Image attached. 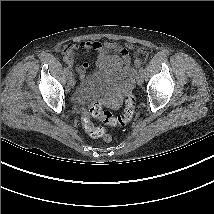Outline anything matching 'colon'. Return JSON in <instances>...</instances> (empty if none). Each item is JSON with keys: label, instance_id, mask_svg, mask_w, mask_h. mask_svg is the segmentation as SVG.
Segmentation results:
<instances>
[{"label": "colon", "instance_id": "1", "mask_svg": "<svg viewBox=\"0 0 214 214\" xmlns=\"http://www.w3.org/2000/svg\"><path fill=\"white\" fill-rule=\"evenodd\" d=\"M144 52V50H141V53ZM134 109L135 97L130 91H128L125 98V108L121 116L116 117L111 112L103 110L99 103H94L83 116V126L90 136L102 138L105 142H110L112 139L110 134H108L104 128L95 127L92 124L90 117H95L110 126H124L131 121L134 115Z\"/></svg>", "mask_w": 214, "mask_h": 214}]
</instances>
